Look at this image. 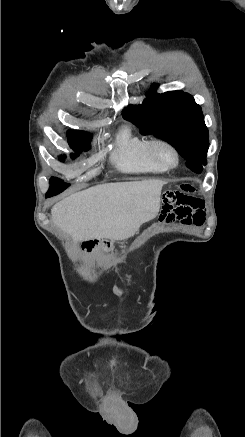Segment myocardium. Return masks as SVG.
Listing matches in <instances>:
<instances>
[{
	"instance_id": "myocardium-1",
	"label": "myocardium",
	"mask_w": 245,
	"mask_h": 437,
	"mask_svg": "<svg viewBox=\"0 0 245 437\" xmlns=\"http://www.w3.org/2000/svg\"><path fill=\"white\" fill-rule=\"evenodd\" d=\"M147 150L150 156L159 164L166 168H172L178 165L180 161V154L178 149L169 141L161 138H153L147 142ZM162 151H168L172 159L167 160Z\"/></svg>"
}]
</instances>
